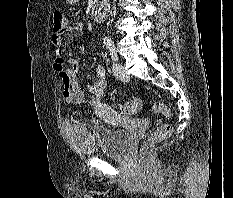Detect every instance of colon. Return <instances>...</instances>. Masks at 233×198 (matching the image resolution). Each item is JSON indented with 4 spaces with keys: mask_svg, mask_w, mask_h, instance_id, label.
I'll return each mask as SVG.
<instances>
[{
    "mask_svg": "<svg viewBox=\"0 0 233 198\" xmlns=\"http://www.w3.org/2000/svg\"><path fill=\"white\" fill-rule=\"evenodd\" d=\"M66 25L65 17L60 11L53 13V31L60 32ZM142 109V102L138 97L131 98L127 103L120 106V110L127 115H134L140 112ZM153 111L157 114H162L166 118H171V111L166 104L163 102H156L153 105ZM172 132V125L165 123L155 129L147 138V141L141 148V155H145L146 152L153 146L161 143L165 140Z\"/></svg>",
    "mask_w": 233,
    "mask_h": 198,
    "instance_id": "1",
    "label": "colon"
}]
</instances>
